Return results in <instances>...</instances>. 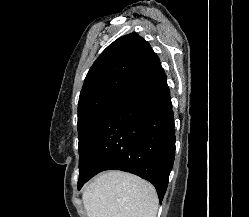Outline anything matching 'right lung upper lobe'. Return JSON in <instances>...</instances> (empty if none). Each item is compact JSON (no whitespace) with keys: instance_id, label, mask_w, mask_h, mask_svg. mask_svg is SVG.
Instances as JSON below:
<instances>
[{"instance_id":"right-lung-upper-lobe-1","label":"right lung upper lobe","mask_w":249,"mask_h":217,"mask_svg":"<svg viewBox=\"0 0 249 217\" xmlns=\"http://www.w3.org/2000/svg\"><path fill=\"white\" fill-rule=\"evenodd\" d=\"M159 63L150 44L137 33L120 37L101 53L88 71L79 104L105 92L128 91Z\"/></svg>"}]
</instances>
